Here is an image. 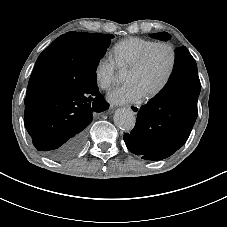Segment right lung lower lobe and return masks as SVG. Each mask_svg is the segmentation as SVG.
<instances>
[{
    "label": "right lung lower lobe",
    "instance_id": "1",
    "mask_svg": "<svg viewBox=\"0 0 227 227\" xmlns=\"http://www.w3.org/2000/svg\"><path fill=\"white\" fill-rule=\"evenodd\" d=\"M108 107L97 86L76 92L49 86L25 104L24 123L36 149L62 161L80 151L93 114Z\"/></svg>",
    "mask_w": 227,
    "mask_h": 227
}]
</instances>
